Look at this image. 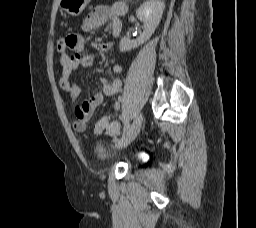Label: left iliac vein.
Listing matches in <instances>:
<instances>
[{
    "mask_svg": "<svg viewBox=\"0 0 256 228\" xmlns=\"http://www.w3.org/2000/svg\"><path fill=\"white\" fill-rule=\"evenodd\" d=\"M143 123V114L139 113L129 129L122 135L121 139L117 143V148H123L129 145L139 134L141 126Z\"/></svg>",
    "mask_w": 256,
    "mask_h": 228,
    "instance_id": "left-iliac-vein-1",
    "label": "left iliac vein"
}]
</instances>
